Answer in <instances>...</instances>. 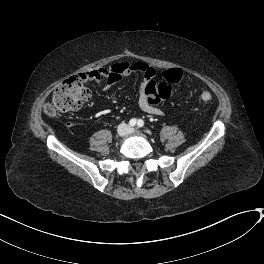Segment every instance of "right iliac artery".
Masks as SVG:
<instances>
[{
    "label": "right iliac artery",
    "mask_w": 264,
    "mask_h": 264,
    "mask_svg": "<svg viewBox=\"0 0 264 264\" xmlns=\"http://www.w3.org/2000/svg\"><path fill=\"white\" fill-rule=\"evenodd\" d=\"M136 124H137V120L134 118L129 121V125L132 127L136 126Z\"/></svg>",
    "instance_id": "82829eb1"
}]
</instances>
